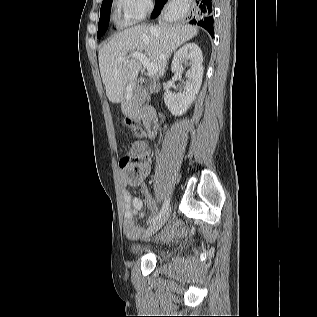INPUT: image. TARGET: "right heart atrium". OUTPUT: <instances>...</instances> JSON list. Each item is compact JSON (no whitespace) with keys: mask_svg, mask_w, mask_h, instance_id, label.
Instances as JSON below:
<instances>
[{"mask_svg":"<svg viewBox=\"0 0 317 317\" xmlns=\"http://www.w3.org/2000/svg\"><path fill=\"white\" fill-rule=\"evenodd\" d=\"M123 26H132L142 21L152 10V0H115Z\"/></svg>","mask_w":317,"mask_h":317,"instance_id":"1","label":"right heart atrium"}]
</instances>
